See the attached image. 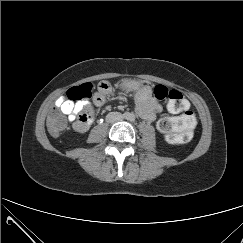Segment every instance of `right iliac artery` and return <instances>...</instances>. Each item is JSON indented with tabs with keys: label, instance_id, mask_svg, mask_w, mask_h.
I'll return each instance as SVG.
<instances>
[{
	"label": "right iliac artery",
	"instance_id": "obj_1",
	"mask_svg": "<svg viewBox=\"0 0 243 243\" xmlns=\"http://www.w3.org/2000/svg\"><path fill=\"white\" fill-rule=\"evenodd\" d=\"M124 117H126V118H127V114H126V113L124 114Z\"/></svg>",
	"mask_w": 243,
	"mask_h": 243
}]
</instances>
